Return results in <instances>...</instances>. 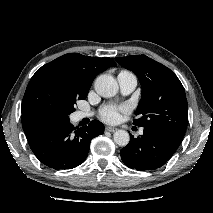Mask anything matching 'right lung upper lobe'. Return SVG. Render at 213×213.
Instances as JSON below:
<instances>
[{"label": "right lung upper lobe", "mask_w": 213, "mask_h": 213, "mask_svg": "<svg viewBox=\"0 0 213 213\" xmlns=\"http://www.w3.org/2000/svg\"><path fill=\"white\" fill-rule=\"evenodd\" d=\"M116 63L111 58L68 53L42 66L34 75H50L84 89H90L94 78ZM33 75V76H34Z\"/></svg>", "instance_id": "1"}]
</instances>
